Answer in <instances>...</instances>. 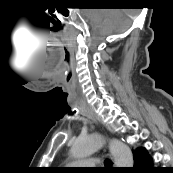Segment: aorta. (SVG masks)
I'll return each instance as SVG.
<instances>
[{
	"label": "aorta",
	"mask_w": 173,
	"mask_h": 173,
	"mask_svg": "<svg viewBox=\"0 0 173 173\" xmlns=\"http://www.w3.org/2000/svg\"><path fill=\"white\" fill-rule=\"evenodd\" d=\"M104 144L101 135H91L75 140L71 147V154L76 159H82L98 151ZM110 152L116 167H132L133 155L130 148L118 139L110 140Z\"/></svg>",
	"instance_id": "1"
}]
</instances>
